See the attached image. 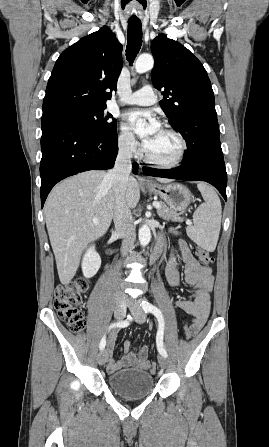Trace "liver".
I'll return each instance as SVG.
<instances>
[{"mask_svg": "<svg viewBox=\"0 0 269 447\" xmlns=\"http://www.w3.org/2000/svg\"><path fill=\"white\" fill-rule=\"evenodd\" d=\"M105 176L106 172L92 170L67 178L53 188L46 200L45 220L61 283H70L84 247L104 235L114 218L113 184ZM157 182L168 184L172 180L157 178ZM139 200V184L130 176L126 188L128 208H136ZM92 220H98V224Z\"/></svg>", "mask_w": 269, "mask_h": 447, "instance_id": "obj_1", "label": "liver"}]
</instances>
